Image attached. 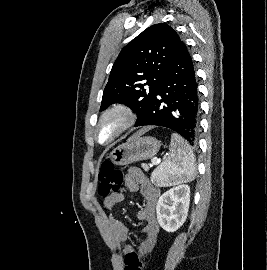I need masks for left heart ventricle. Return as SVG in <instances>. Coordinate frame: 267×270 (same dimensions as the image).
Listing matches in <instances>:
<instances>
[{
    "instance_id": "obj_1",
    "label": "left heart ventricle",
    "mask_w": 267,
    "mask_h": 270,
    "mask_svg": "<svg viewBox=\"0 0 267 270\" xmlns=\"http://www.w3.org/2000/svg\"><path fill=\"white\" fill-rule=\"evenodd\" d=\"M123 117L121 115H113L103 121L99 128V138L102 142L109 140L121 127Z\"/></svg>"
}]
</instances>
